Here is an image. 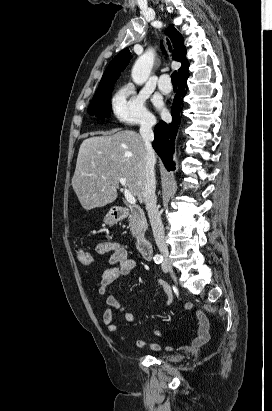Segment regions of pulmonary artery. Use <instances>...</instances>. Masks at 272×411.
<instances>
[{"label": "pulmonary artery", "instance_id": "e3ab8cb5", "mask_svg": "<svg viewBox=\"0 0 272 411\" xmlns=\"http://www.w3.org/2000/svg\"><path fill=\"white\" fill-rule=\"evenodd\" d=\"M158 88L165 94L169 93L172 90V86L169 82V76L167 74L160 76L158 80Z\"/></svg>", "mask_w": 272, "mask_h": 411}]
</instances>
